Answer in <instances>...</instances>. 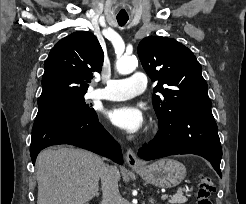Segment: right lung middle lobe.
<instances>
[{
  "label": "right lung middle lobe",
  "mask_w": 246,
  "mask_h": 204,
  "mask_svg": "<svg viewBox=\"0 0 246 204\" xmlns=\"http://www.w3.org/2000/svg\"><path fill=\"white\" fill-rule=\"evenodd\" d=\"M85 93L86 92L62 94L48 100L38 101V105L39 107H60L71 110L74 113L90 115L95 111L89 104L85 103Z\"/></svg>",
  "instance_id": "obj_1"
}]
</instances>
